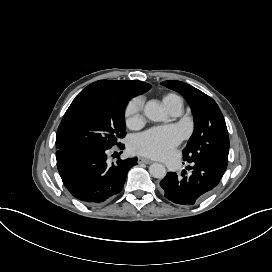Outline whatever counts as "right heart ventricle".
Segmentation results:
<instances>
[{"label": "right heart ventricle", "mask_w": 272, "mask_h": 272, "mask_svg": "<svg viewBox=\"0 0 272 272\" xmlns=\"http://www.w3.org/2000/svg\"><path fill=\"white\" fill-rule=\"evenodd\" d=\"M178 97L176 95H173V94H169L167 96L164 97V105L166 107V109L171 113V106H172V103H173V100Z\"/></svg>", "instance_id": "1"}]
</instances>
